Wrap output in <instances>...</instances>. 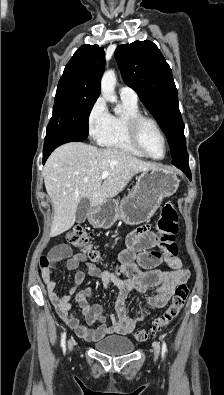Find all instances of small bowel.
Wrapping results in <instances>:
<instances>
[{
	"label": "small bowel",
	"mask_w": 224,
	"mask_h": 395,
	"mask_svg": "<svg viewBox=\"0 0 224 395\" xmlns=\"http://www.w3.org/2000/svg\"><path fill=\"white\" fill-rule=\"evenodd\" d=\"M154 243L155 235L147 226L137 228L128 236L127 247L118 256L120 269L126 276L125 278L112 272L101 271L95 264L88 262L85 254H73L71 247L66 244H59L52 248L50 257L54 262L65 259L67 270L76 271L74 286L67 295H59L55 292L56 282L53 279L52 268H43L41 271L48 296L60 318L78 336L91 342L99 341L112 334L127 335L132 333L136 326L146 318L150 309L163 308L170 300L175 288L180 283H186L189 279V271L183 268L179 257L167 259L169 268L167 271L156 268L160 258L157 253L149 250ZM82 263L86 264L88 274L98 278L104 288L113 283L119 289L115 302V313L109 316V324L102 315V306L90 301L92 288L77 290L85 278V273L78 270ZM141 268L146 271H142ZM132 291L150 293L146 305L138 308L134 315H130L126 308L127 297ZM72 297L80 307L87 325L80 324L79 320L70 312ZM96 323L98 325L94 326Z\"/></svg>",
	"instance_id": "1"
}]
</instances>
